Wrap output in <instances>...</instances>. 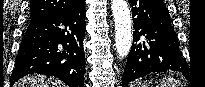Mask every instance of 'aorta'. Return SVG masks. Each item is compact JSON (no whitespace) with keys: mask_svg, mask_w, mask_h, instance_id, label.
Returning a JSON list of instances; mask_svg holds the SVG:
<instances>
[{"mask_svg":"<svg viewBox=\"0 0 205 87\" xmlns=\"http://www.w3.org/2000/svg\"><path fill=\"white\" fill-rule=\"evenodd\" d=\"M111 9L115 22V46L120 58L128 55L132 45L130 10L126 0H112Z\"/></svg>","mask_w":205,"mask_h":87,"instance_id":"aorta-1","label":"aorta"}]
</instances>
